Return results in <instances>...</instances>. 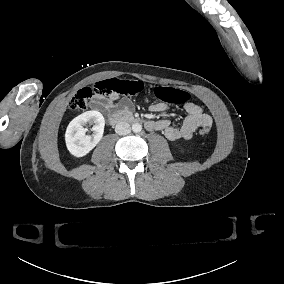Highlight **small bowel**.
Instances as JSON below:
<instances>
[{
  "instance_id": "obj_1",
  "label": "small bowel",
  "mask_w": 284,
  "mask_h": 284,
  "mask_svg": "<svg viewBox=\"0 0 284 284\" xmlns=\"http://www.w3.org/2000/svg\"><path fill=\"white\" fill-rule=\"evenodd\" d=\"M95 104L105 110L120 109L131 112L134 105L129 98H119L118 94H111L108 97L98 100ZM168 109L165 103H155L151 105L152 112H164ZM185 117L180 127L173 126L168 119L151 120L146 122V127L149 130L162 131L165 137L171 141L174 140H189L193 137L194 132L201 127H211L212 118L205 113L203 109L192 102H187L184 105Z\"/></svg>"
}]
</instances>
